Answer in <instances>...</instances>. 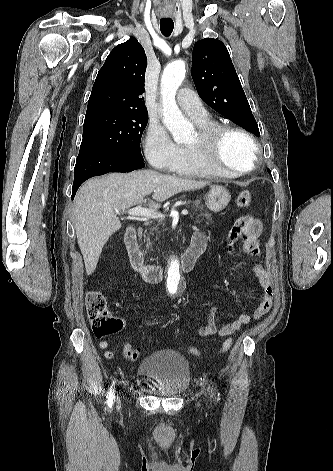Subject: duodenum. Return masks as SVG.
Here are the masks:
<instances>
[{
    "instance_id": "obj_1",
    "label": "duodenum",
    "mask_w": 333,
    "mask_h": 471,
    "mask_svg": "<svg viewBox=\"0 0 333 471\" xmlns=\"http://www.w3.org/2000/svg\"><path fill=\"white\" fill-rule=\"evenodd\" d=\"M125 246L132 268L138 271L148 283H158L163 278L161 266L146 263L137 241V230L130 227L125 234ZM206 245L203 241L192 240L186 252L179 260V267L184 272L193 270Z\"/></svg>"
}]
</instances>
